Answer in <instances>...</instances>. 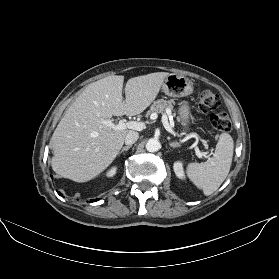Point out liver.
Here are the masks:
<instances>
[{
  "mask_svg": "<svg viewBox=\"0 0 279 279\" xmlns=\"http://www.w3.org/2000/svg\"><path fill=\"white\" fill-rule=\"evenodd\" d=\"M169 73L131 78L109 76L91 83L66 111L51 138L55 173L75 182L89 181L116 158L129 130H114L101 123L112 116L142 113L157 97Z\"/></svg>",
  "mask_w": 279,
  "mask_h": 279,
  "instance_id": "1",
  "label": "liver"
}]
</instances>
